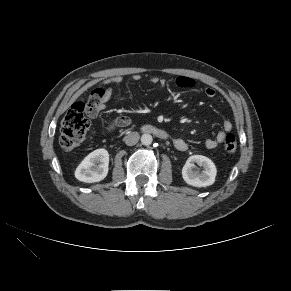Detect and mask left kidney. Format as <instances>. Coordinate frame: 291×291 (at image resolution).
Masks as SVG:
<instances>
[{"label":"left kidney","mask_w":291,"mask_h":291,"mask_svg":"<svg viewBox=\"0 0 291 291\" xmlns=\"http://www.w3.org/2000/svg\"><path fill=\"white\" fill-rule=\"evenodd\" d=\"M195 163L203 167L202 172L194 169ZM217 174L215 164L211 159L202 155L190 156L182 168L184 181L194 187H207L214 183Z\"/></svg>","instance_id":"5707ae66"}]
</instances>
